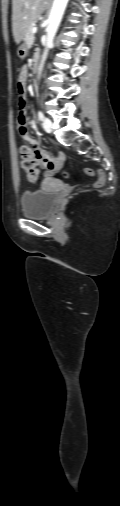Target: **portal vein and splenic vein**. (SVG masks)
I'll return each mask as SVG.
<instances>
[{
    "instance_id": "portal-vein-and-splenic-vein-1",
    "label": "portal vein and splenic vein",
    "mask_w": 120,
    "mask_h": 506,
    "mask_svg": "<svg viewBox=\"0 0 120 506\" xmlns=\"http://www.w3.org/2000/svg\"><path fill=\"white\" fill-rule=\"evenodd\" d=\"M37 32V27L32 28V33L35 34Z\"/></svg>"
}]
</instances>
